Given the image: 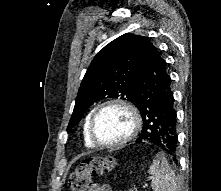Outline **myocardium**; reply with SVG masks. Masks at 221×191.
<instances>
[{"mask_svg":"<svg viewBox=\"0 0 221 191\" xmlns=\"http://www.w3.org/2000/svg\"><path fill=\"white\" fill-rule=\"evenodd\" d=\"M110 107H119L124 109L130 116L131 118V127L128 132V134L121 139L120 141L113 142V143H104L101 142L95 134V122L97 119L98 114ZM142 126V118L141 115L138 111V109L129 101L119 99V98H113L106 100L99 105L95 107V109L92 111L90 120H89V125H88V131H89V136L91 141L98 147L101 148H107V149H116L125 146L129 142H131L139 133L140 129Z\"/></svg>","mask_w":221,"mask_h":191,"instance_id":"myocardium-1","label":"myocardium"}]
</instances>
